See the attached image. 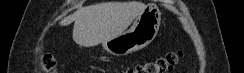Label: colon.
<instances>
[{
    "mask_svg": "<svg viewBox=\"0 0 244 73\" xmlns=\"http://www.w3.org/2000/svg\"><path fill=\"white\" fill-rule=\"evenodd\" d=\"M179 57V53L170 52L156 59L127 68L122 73H167L177 63ZM40 62L45 72H53L56 67L55 59L48 54L43 55Z\"/></svg>",
    "mask_w": 244,
    "mask_h": 73,
    "instance_id": "5ec220e1",
    "label": "colon"
}]
</instances>
